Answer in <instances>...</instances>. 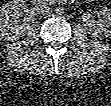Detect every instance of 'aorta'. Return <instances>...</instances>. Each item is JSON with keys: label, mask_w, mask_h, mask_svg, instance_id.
<instances>
[{"label": "aorta", "mask_w": 111, "mask_h": 106, "mask_svg": "<svg viewBox=\"0 0 111 106\" xmlns=\"http://www.w3.org/2000/svg\"><path fill=\"white\" fill-rule=\"evenodd\" d=\"M56 13L58 14V15H62V14H64V8H62V7H58V8H56Z\"/></svg>", "instance_id": "1"}]
</instances>
